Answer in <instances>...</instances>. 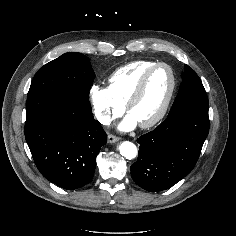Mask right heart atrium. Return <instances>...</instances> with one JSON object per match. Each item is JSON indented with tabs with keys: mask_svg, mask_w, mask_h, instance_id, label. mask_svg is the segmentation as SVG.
Instances as JSON below:
<instances>
[{
	"mask_svg": "<svg viewBox=\"0 0 236 236\" xmlns=\"http://www.w3.org/2000/svg\"><path fill=\"white\" fill-rule=\"evenodd\" d=\"M90 101L94 116L105 126L110 125L124 111V105L116 100L108 87L93 85L90 89Z\"/></svg>",
	"mask_w": 236,
	"mask_h": 236,
	"instance_id": "obj_1",
	"label": "right heart atrium"
}]
</instances>
